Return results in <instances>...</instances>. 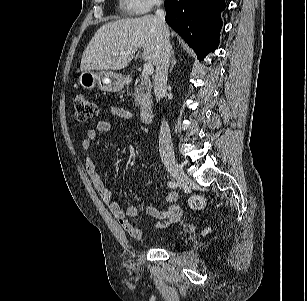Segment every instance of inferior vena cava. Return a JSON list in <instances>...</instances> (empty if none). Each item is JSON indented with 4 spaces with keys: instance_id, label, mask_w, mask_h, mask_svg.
Wrapping results in <instances>:
<instances>
[{
    "instance_id": "inferior-vena-cava-1",
    "label": "inferior vena cava",
    "mask_w": 307,
    "mask_h": 301,
    "mask_svg": "<svg viewBox=\"0 0 307 301\" xmlns=\"http://www.w3.org/2000/svg\"><path fill=\"white\" fill-rule=\"evenodd\" d=\"M155 14L159 22L162 24V37L160 55L154 75V92L156 96L164 97L167 90V73L172 57V51L168 39L167 27L165 25V11L160 8V4L157 5ZM159 152L161 157L174 154L169 125L164 120L159 132Z\"/></svg>"
}]
</instances>
